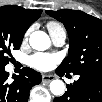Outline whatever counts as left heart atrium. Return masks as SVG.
I'll list each match as a JSON object with an SVG mask.
<instances>
[{
    "label": "left heart atrium",
    "mask_w": 102,
    "mask_h": 102,
    "mask_svg": "<svg viewBox=\"0 0 102 102\" xmlns=\"http://www.w3.org/2000/svg\"><path fill=\"white\" fill-rule=\"evenodd\" d=\"M56 55L38 53L32 56L29 60L30 65L40 71H48L57 63Z\"/></svg>",
    "instance_id": "39dd6f15"
}]
</instances>
